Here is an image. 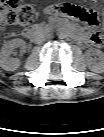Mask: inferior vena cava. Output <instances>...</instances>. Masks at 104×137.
I'll return each mask as SVG.
<instances>
[{
	"label": "inferior vena cava",
	"mask_w": 104,
	"mask_h": 137,
	"mask_svg": "<svg viewBox=\"0 0 104 137\" xmlns=\"http://www.w3.org/2000/svg\"><path fill=\"white\" fill-rule=\"evenodd\" d=\"M43 39H44L43 34H41V33L36 34V36H35V42H36V43L42 42Z\"/></svg>",
	"instance_id": "inferior-vena-cava-1"
}]
</instances>
